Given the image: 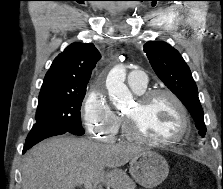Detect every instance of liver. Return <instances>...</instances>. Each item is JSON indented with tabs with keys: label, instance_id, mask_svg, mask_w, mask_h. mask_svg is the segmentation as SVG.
<instances>
[{
	"label": "liver",
	"instance_id": "obj_1",
	"mask_svg": "<svg viewBox=\"0 0 223 189\" xmlns=\"http://www.w3.org/2000/svg\"><path fill=\"white\" fill-rule=\"evenodd\" d=\"M146 151L130 144H99L84 138L53 137L30 149L22 164V189H74L87 181L126 189L120 169ZM111 170L105 172V168Z\"/></svg>",
	"mask_w": 223,
	"mask_h": 189
}]
</instances>
